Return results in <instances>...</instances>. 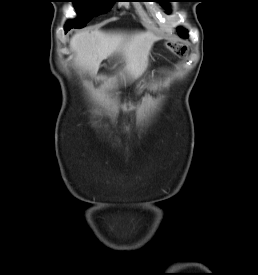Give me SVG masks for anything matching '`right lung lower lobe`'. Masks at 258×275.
<instances>
[{
	"mask_svg": "<svg viewBox=\"0 0 258 275\" xmlns=\"http://www.w3.org/2000/svg\"><path fill=\"white\" fill-rule=\"evenodd\" d=\"M70 29H71V27L65 26L66 32H67L68 30H70Z\"/></svg>",
	"mask_w": 258,
	"mask_h": 275,
	"instance_id": "right-lung-lower-lobe-1",
	"label": "right lung lower lobe"
}]
</instances>
